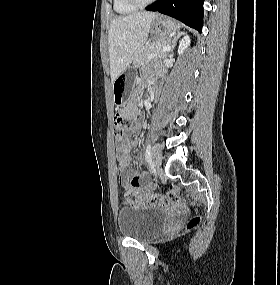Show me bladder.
Masks as SVG:
<instances>
[{
	"instance_id": "1",
	"label": "bladder",
	"mask_w": 280,
	"mask_h": 285,
	"mask_svg": "<svg viewBox=\"0 0 280 285\" xmlns=\"http://www.w3.org/2000/svg\"><path fill=\"white\" fill-rule=\"evenodd\" d=\"M163 223V212L153 207H122L117 216L120 234L138 240H147L158 234Z\"/></svg>"
}]
</instances>
